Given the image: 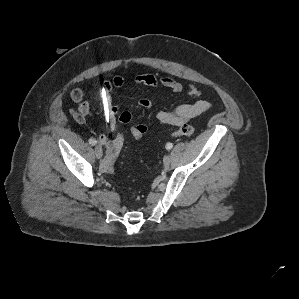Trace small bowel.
Instances as JSON below:
<instances>
[{
  "label": "small bowel",
  "mask_w": 299,
  "mask_h": 299,
  "mask_svg": "<svg viewBox=\"0 0 299 299\" xmlns=\"http://www.w3.org/2000/svg\"><path fill=\"white\" fill-rule=\"evenodd\" d=\"M134 82L137 85H144L151 88H157L164 86L171 89L176 94L185 93L189 99V102L182 103L176 106L172 110L159 111L156 114V119L159 123L171 126H180L184 122L189 121L211 108V104L201 99V91L190 84L184 88L177 80L170 76L156 77L150 73H143L136 75ZM124 85V78L120 75L113 77L110 80H104L99 86V95L103 104L104 117L106 119V126L110 133L115 132L117 124H128L131 121V114L129 111H121L120 108L113 103L112 91L115 88H121ZM70 98L73 102L78 103V109L83 111L86 116L90 112V105L84 100L85 93L80 88H75L70 92ZM139 105L144 109H150L152 107V101L143 97L139 100ZM137 126L143 127L147 131V127L144 124H137ZM100 144H107L109 137L105 134H101L98 137Z\"/></svg>",
  "instance_id": "1"
}]
</instances>
